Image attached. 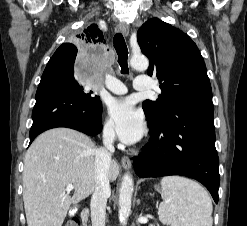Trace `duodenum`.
Returning a JSON list of instances; mask_svg holds the SVG:
<instances>
[{
  "instance_id": "obj_1",
  "label": "duodenum",
  "mask_w": 247,
  "mask_h": 226,
  "mask_svg": "<svg viewBox=\"0 0 247 226\" xmlns=\"http://www.w3.org/2000/svg\"><path fill=\"white\" fill-rule=\"evenodd\" d=\"M89 209L88 208H83L80 213V220H81V225L82 226H87L88 220H89Z\"/></svg>"
}]
</instances>
